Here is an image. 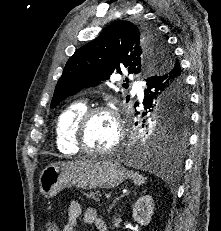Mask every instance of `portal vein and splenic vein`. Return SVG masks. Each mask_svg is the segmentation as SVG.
<instances>
[{"label":"portal vein and splenic vein","mask_w":221,"mask_h":231,"mask_svg":"<svg viewBox=\"0 0 221 231\" xmlns=\"http://www.w3.org/2000/svg\"><path fill=\"white\" fill-rule=\"evenodd\" d=\"M104 196H105V198H107V199L111 198V194H105Z\"/></svg>","instance_id":"obj_1"}]
</instances>
